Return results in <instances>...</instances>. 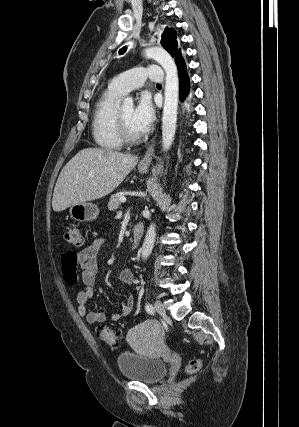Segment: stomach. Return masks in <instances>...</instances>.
I'll return each mask as SVG.
<instances>
[{
	"mask_svg": "<svg viewBox=\"0 0 299 427\" xmlns=\"http://www.w3.org/2000/svg\"><path fill=\"white\" fill-rule=\"evenodd\" d=\"M140 173L145 174L148 166H139ZM70 217L76 221L88 222L95 220L99 215V208L96 204L90 202L79 203L69 207Z\"/></svg>",
	"mask_w": 299,
	"mask_h": 427,
	"instance_id": "0dacf381",
	"label": "stomach"
}]
</instances>
